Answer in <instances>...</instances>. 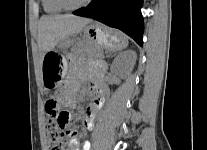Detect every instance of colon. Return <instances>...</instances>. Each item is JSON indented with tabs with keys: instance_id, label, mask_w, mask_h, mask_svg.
<instances>
[{
	"instance_id": "colon-1",
	"label": "colon",
	"mask_w": 207,
	"mask_h": 150,
	"mask_svg": "<svg viewBox=\"0 0 207 150\" xmlns=\"http://www.w3.org/2000/svg\"><path fill=\"white\" fill-rule=\"evenodd\" d=\"M45 110L48 117L46 124V140L50 150H66V126L69 121V113L62 108L56 98L47 100Z\"/></svg>"
}]
</instances>
